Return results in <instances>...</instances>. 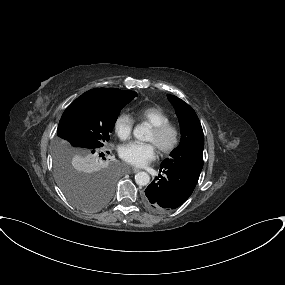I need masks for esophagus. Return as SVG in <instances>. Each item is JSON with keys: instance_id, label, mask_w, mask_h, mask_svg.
I'll return each mask as SVG.
<instances>
[{"instance_id": "34e87169", "label": "esophagus", "mask_w": 285, "mask_h": 285, "mask_svg": "<svg viewBox=\"0 0 285 285\" xmlns=\"http://www.w3.org/2000/svg\"><path fill=\"white\" fill-rule=\"evenodd\" d=\"M139 171H140L139 168H133V169H132V172H133V173H137V172H139Z\"/></svg>"}]
</instances>
